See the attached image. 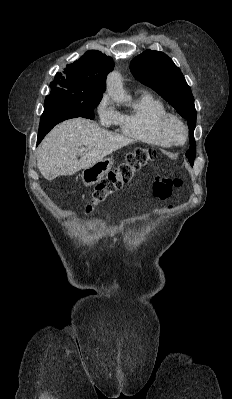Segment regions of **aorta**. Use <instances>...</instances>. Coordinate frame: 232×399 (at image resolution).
Instances as JSON below:
<instances>
[{
  "mask_svg": "<svg viewBox=\"0 0 232 399\" xmlns=\"http://www.w3.org/2000/svg\"><path fill=\"white\" fill-rule=\"evenodd\" d=\"M107 92L110 97L118 103L126 102L129 99V96L123 89L121 77L116 72H113L108 76Z\"/></svg>",
  "mask_w": 232,
  "mask_h": 399,
  "instance_id": "1",
  "label": "aorta"
}]
</instances>
